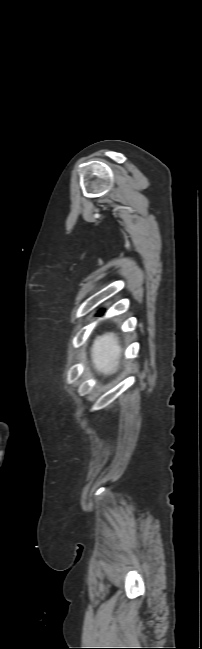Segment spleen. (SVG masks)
Instances as JSON below:
<instances>
[{"instance_id":"obj_1","label":"spleen","mask_w":202,"mask_h":649,"mask_svg":"<svg viewBox=\"0 0 202 649\" xmlns=\"http://www.w3.org/2000/svg\"><path fill=\"white\" fill-rule=\"evenodd\" d=\"M93 361L98 370L111 373L116 368L121 347L114 334L109 333L98 337L92 347Z\"/></svg>"}]
</instances>
